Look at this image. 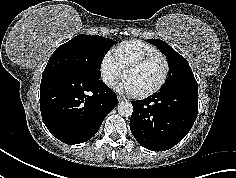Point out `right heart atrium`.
I'll list each match as a JSON object with an SVG mask.
<instances>
[{
	"mask_svg": "<svg viewBox=\"0 0 236 178\" xmlns=\"http://www.w3.org/2000/svg\"><path fill=\"white\" fill-rule=\"evenodd\" d=\"M124 69L117 62L111 52H106L99 63V73L102 82L112 88L123 76Z\"/></svg>",
	"mask_w": 236,
	"mask_h": 178,
	"instance_id": "right-heart-atrium-1",
	"label": "right heart atrium"
}]
</instances>
